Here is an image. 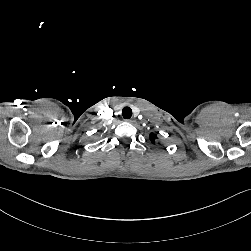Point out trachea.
<instances>
[{
	"label": "trachea",
	"instance_id": "1",
	"mask_svg": "<svg viewBox=\"0 0 251 251\" xmlns=\"http://www.w3.org/2000/svg\"><path fill=\"white\" fill-rule=\"evenodd\" d=\"M122 115L125 119H129L131 118L132 116V110L131 108L129 107H125L123 110H122Z\"/></svg>",
	"mask_w": 251,
	"mask_h": 251
}]
</instances>
